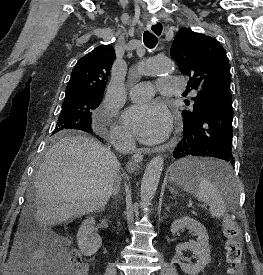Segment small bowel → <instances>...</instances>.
<instances>
[{
	"mask_svg": "<svg viewBox=\"0 0 263 275\" xmlns=\"http://www.w3.org/2000/svg\"><path fill=\"white\" fill-rule=\"evenodd\" d=\"M26 275H61L65 263L61 250L52 240H46L23 259Z\"/></svg>",
	"mask_w": 263,
	"mask_h": 275,
	"instance_id": "c3829d8e",
	"label": "small bowel"
}]
</instances>
